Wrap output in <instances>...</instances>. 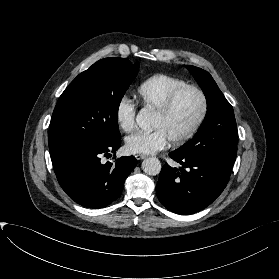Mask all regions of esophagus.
Masks as SVG:
<instances>
[{
  "mask_svg": "<svg viewBox=\"0 0 279 279\" xmlns=\"http://www.w3.org/2000/svg\"><path fill=\"white\" fill-rule=\"evenodd\" d=\"M135 157L137 160H142V159L146 158L147 156L145 154H136Z\"/></svg>",
  "mask_w": 279,
  "mask_h": 279,
  "instance_id": "1",
  "label": "esophagus"
}]
</instances>
